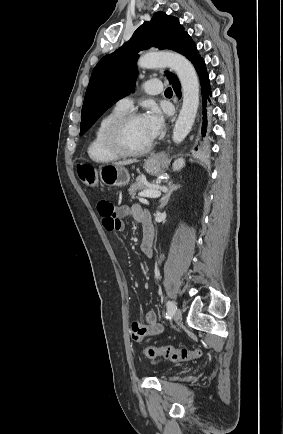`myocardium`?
<instances>
[{"label": "myocardium", "mask_w": 283, "mask_h": 434, "mask_svg": "<svg viewBox=\"0 0 283 434\" xmlns=\"http://www.w3.org/2000/svg\"><path fill=\"white\" fill-rule=\"evenodd\" d=\"M141 117V114L138 112H127L112 121L106 128L104 134V142L106 147L120 157H133L148 153L152 149V142L140 149H132L127 146L124 139L126 127L133 120Z\"/></svg>", "instance_id": "f54148a6"}]
</instances>
